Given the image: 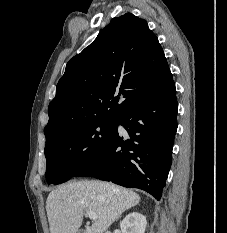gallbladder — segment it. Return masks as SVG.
<instances>
[{"label":"gallbladder","instance_id":"1","mask_svg":"<svg viewBox=\"0 0 227 233\" xmlns=\"http://www.w3.org/2000/svg\"><path fill=\"white\" fill-rule=\"evenodd\" d=\"M76 233H85L84 230H78Z\"/></svg>","mask_w":227,"mask_h":233}]
</instances>
